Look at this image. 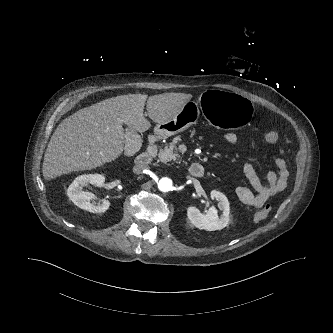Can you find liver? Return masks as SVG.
<instances>
[{
	"instance_id": "liver-1",
	"label": "liver",
	"mask_w": 333,
	"mask_h": 333,
	"mask_svg": "<svg viewBox=\"0 0 333 333\" xmlns=\"http://www.w3.org/2000/svg\"><path fill=\"white\" fill-rule=\"evenodd\" d=\"M191 98L185 93L150 97L127 94L77 111L58 125L49 141L42 169L44 178L91 170L115 160L124 149L123 123L140 133L150 128L143 114L145 103L149 118L159 124L174 117Z\"/></svg>"
}]
</instances>
